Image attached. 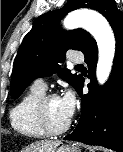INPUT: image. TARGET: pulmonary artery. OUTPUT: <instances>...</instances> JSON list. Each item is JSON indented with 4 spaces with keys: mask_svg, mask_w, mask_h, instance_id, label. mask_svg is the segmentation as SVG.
Wrapping results in <instances>:
<instances>
[{
    "mask_svg": "<svg viewBox=\"0 0 123 152\" xmlns=\"http://www.w3.org/2000/svg\"><path fill=\"white\" fill-rule=\"evenodd\" d=\"M70 61L73 63H81L83 61V56L81 54H73L70 56ZM33 86L42 90H45L47 87L43 78L36 79Z\"/></svg>",
    "mask_w": 123,
    "mask_h": 152,
    "instance_id": "1",
    "label": "pulmonary artery"
}]
</instances>
